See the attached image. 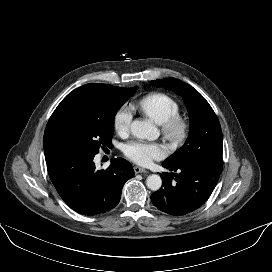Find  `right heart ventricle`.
<instances>
[{
  "label": "right heart ventricle",
  "mask_w": 272,
  "mask_h": 272,
  "mask_svg": "<svg viewBox=\"0 0 272 272\" xmlns=\"http://www.w3.org/2000/svg\"><path fill=\"white\" fill-rule=\"evenodd\" d=\"M136 107L147 117L162 124L179 112L178 102L170 95L162 92L150 93L142 97Z\"/></svg>",
  "instance_id": "obj_1"
}]
</instances>
